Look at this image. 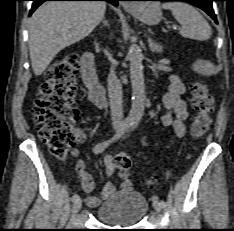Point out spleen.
I'll return each mask as SVG.
<instances>
[{"label": "spleen", "mask_w": 234, "mask_h": 231, "mask_svg": "<svg viewBox=\"0 0 234 231\" xmlns=\"http://www.w3.org/2000/svg\"><path fill=\"white\" fill-rule=\"evenodd\" d=\"M164 9H170L174 18L181 24L180 34L185 38L205 41L211 37V27L204 17L190 4L166 2Z\"/></svg>", "instance_id": "obj_1"}]
</instances>
